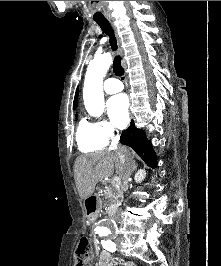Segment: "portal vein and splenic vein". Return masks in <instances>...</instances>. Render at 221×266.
<instances>
[{
  "instance_id": "portal-vein-and-splenic-vein-1",
  "label": "portal vein and splenic vein",
  "mask_w": 221,
  "mask_h": 266,
  "mask_svg": "<svg viewBox=\"0 0 221 266\" xmlns=\"http://www.w3.org/2000/svg\"><path fill=\"white\" fill-rule=\"evenodd\" d=\"M120 182H121V178L118 177V176H115L113 179H112V184L113 185H120Z\"/></svg>"
}]
</instances>
